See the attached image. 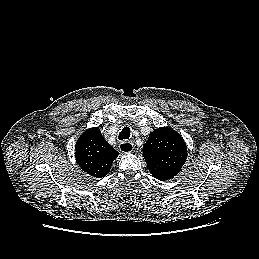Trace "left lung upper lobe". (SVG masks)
Segmentation results:
<instances>
[{
    "instance_id": "1",
    "label": "left lung upper lobe",
    "mask_w": 259,
    "mask_h": 259,
    "mask_svg": "<svg viewBox=\"0 0 259 259\" xmlns=\"http://www.w3.org/2000/svg\"><path fill=\"white\" fill-rule=\"evenodd\" d=\"M143 155L150 173L159 180L176 176L187 159L182 136L168 127L155 129L143 146Z\"/></svg>"
}]
</instances>
